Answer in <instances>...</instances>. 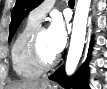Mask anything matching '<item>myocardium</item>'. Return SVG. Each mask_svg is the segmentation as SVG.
<instances>
[{
    "mask_svg": "<svg viewBox=\"0 0 107 89\" xmlns=\"http://www.w3.org/2000/svg\"><path fill=\"white\" fill-rule=\"evenodd\" d=\"M44 27H37L31 35L27 46V57L29 63L37 70L44 72L52 69L59 62V55L57 54L51 61H45L39 51V37L45 31Z\"/></svg>",
    "mask_w": 107,
    "mask_h": 89,
    "instance_id": "obj_1",
    "label": "myocardium"
}]
</instances>
